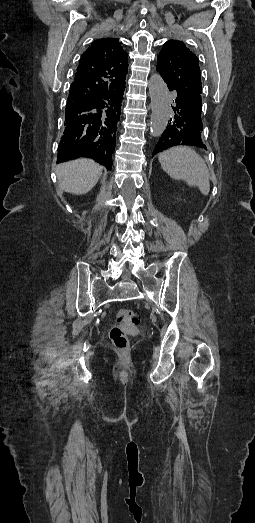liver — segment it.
<instances>
[{
    "label": "liver",
    "mask_w": 255,
    "mask_h": 523,
    "mask_svg": "<svg viewBox=\"0 0 255 523\" xmlns=\"http://www.w3.org/2000/svg\"><path fill=\"white\" fill-rule=\"evenodd\" d=\"M55 172L61 190L68 192V194L82 196L96 186L103 172V166L96 164L94 160L80 158V160L58 164Z\"/></svg>",
    "instance_id": "6515ba94"
}]
</instances>
